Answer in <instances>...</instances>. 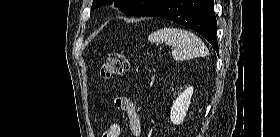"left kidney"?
Here are the masks:
<instances>
[{
  "mask_svg": "<svg viewBox=\"0 0 280 137\" xmlns=\"http://www.w3.org/2000/svg\"><path fill=\"white\" fill-rule=\"evenodd\" d=\"M193 94V87L187 86L185 90L178 95L175 101H173V105L171 107V122L175 125H179L183 122L186 112L191 103V97Z\"/></svg>",
  "mask_w": 280,
  "mask_h": 137,
  "instance_id": "1",
  "label": "left kidney"
}]
</instances>
